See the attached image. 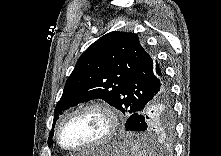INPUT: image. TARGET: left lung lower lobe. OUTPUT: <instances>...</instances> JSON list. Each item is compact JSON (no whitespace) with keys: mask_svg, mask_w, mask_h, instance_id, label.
Instances as JSON below:
<instances>
[{"mask_svg":"<svg viewBox=\"0 0 221 156\" xmlns=\"http://www.w3.org/2000/svg\"><path fill=\"white\" fill-rule=\"evenodd\" d=\"M158 81L155 96L127 119V131L173 134L175 120L169 82L165 74Z\"/></svg>","mask_w":221,"mask_h":156,"instance_id":"obj_1","label":"left lung lower lobe"}]
</instances>
